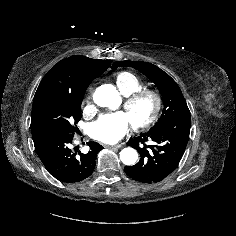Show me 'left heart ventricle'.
Returning a JSON list of instances; mask_svg holds the SVG:
<instances>
[{
	"label": "left heart ventricle",
	"mask_w": 236,
	"mask_h": 236,
	"mask_svg": "<svg viewBox=\"0 0 236 236\" xmlns=\"http://www.w3.org/2000/svg\"><path fill=\"white\" fill-rule=\"evenodd\" d=\"M152 109V100L150 98H144L126 111V114L130 122H141L151 114Z\"/></svg>",
	"instance_id": "obj_1"
}]
</instances>
